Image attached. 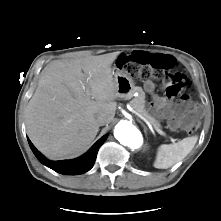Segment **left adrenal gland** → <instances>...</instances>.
Here are the masks:
<instances>
[{"instance_id": "obj_1", "label": "left adrenal gland", "mask_w": 221, "mask_h": 221, "mask_svg": "<svg viewBox=\"0 0 221 221\" xmlns=\"http://www.w3.org/2000/svg\"><path fill=\"white\" fill-rule=\"evenodd\" d=\"M141 124H142V126L144 127V132L146 133V131H147V128H146V126L141 122Z\"/></svg>"}]
</instances>
